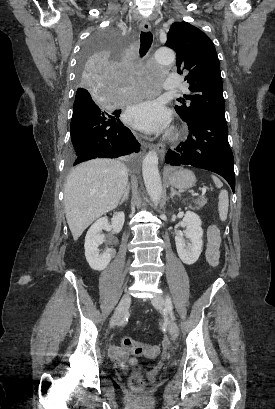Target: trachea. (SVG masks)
Wrapping results in <instances>:
<instances>
[{"label":"trachea","mask_w":275,"mask_h":409,"mask_svg":"<svg viewBox=\"0 0 275 409\" xmlns=\"http://www.w3.org/2000/svg\"><path fill=\"white\" fill-rule=\"evenodd\" d=\"M140 56L143 57L149 50L152 41H153V35L151 32H141L140 35Z\"/></svg>","instance_id":"obj_1"}]
</instances>
